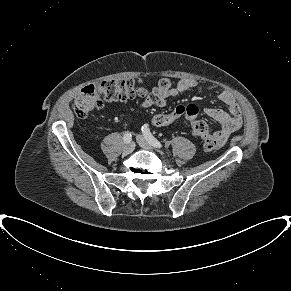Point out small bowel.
Wrapping results in <instances>:
<instances>
[{
	"label": "small bowel",
	"mask_w": 291,
	"mask_h": 291,
	"mask_svg": "<svg viewBox=\"0 0 291 291\" xmlns=\"http://www.w3.org/2000/svg\"><path fill=\"white\" fill-rule=\"evenodd\" d=\"M199 84L192 79H182L176 86H173L167 78L161 79L152 92L137 103L141 108L151 106L164 107L170 98L176 97L192 88L198 87ZM217 98L223 102L229 112L219 108H205L204 112L214 121L220 124V129L214 133L219 140V143H225L230 135L240 129L243 124L241 109L228 91L222 90L217 93Z\"/></svg>",
	"instance_id": "obj_1"
}]
</instances>
